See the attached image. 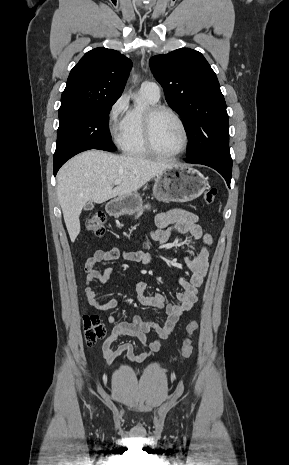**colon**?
I'll use <instances>...</instances> for the list:
<instances>
[{
  "label": "colon",
  "mask_w": 289,
  "mask_h": 465,
  "mask_svg": "<svg viewBox=\"0 0 289 465\" xmlns=\"http://www.w3.org/2000/svg\"><path fill=\"white\" fill-rule=\"evenodd\" d=\"M217 195L215 188H209L204 194V201L206 204H212ZM106 218L103 213L97 212L87 219L85 223L86 229L96 236H101L104 233V225ZM84 338L88 346L96 343L105 335V328L101 323L98 316L94 314H86L83 316ZM198 323L196 321L190 322L186 327V335L181 348V359H187L193 352L191 337L195 331L198 330Z\"/></svg>",
  "instance_id": "5ec220e1"
}]
</instances>
